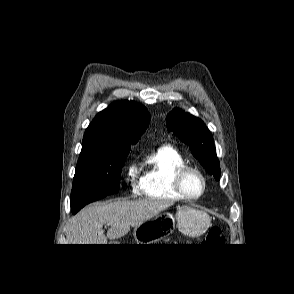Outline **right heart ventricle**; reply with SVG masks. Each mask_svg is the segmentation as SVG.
Segmentation results:
<instances>
[{
  "instance_id": "obj_1",
  "label": "right heart ventricle",
  "mask_w": 294,
  "mask_h": 294,
  "mask_svg": "<svg viewBox=\"0 0 294 294\" xmlns=\"http://www.w3.org/2000/svg\"><path fill=\"white\" fill-rule=\"evenodd\" d=\"M184 164L183 156L174 147L170 145L158 147L141 163L139 194L153 200L181 199L173 188V172Z\"/></svg>"
}]
</instances>
